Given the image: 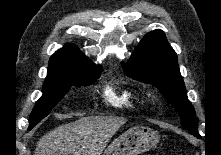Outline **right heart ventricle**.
<instances>
[{
  "mask_svg": "<svg viewBox=\"0 0 221 155\" xmlns=\"http://www.w3.org/2000/svg\"><path fill=\"white\" fill-rule=\"evenodd\" d=\"M103 98L114 107H135L144 103L135 90L126 87L108 86L103 92Z\"/></svg>",
  "mask_w": 221,
  "mask_h": 155,
  "instance_id": "1",
  "label": "right heart ventricle"
}]
</instances>
